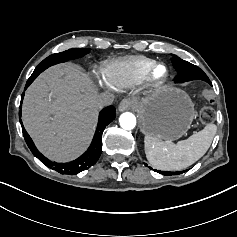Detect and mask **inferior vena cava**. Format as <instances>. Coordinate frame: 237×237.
I'll list each match as a JSON object with an SVG mask.
<instances>
[{"label":"inferior vena cava","mask_w":237,"mask_h":237,"mask_svg":"<svg viewBox=\"0 0 237 237\" xmlns=\"http://www.w3.org/2000/svg\"><path fill=\"white\" fill-rule=\"evenodd\" d=\"M97 104L100 108L109 106L114 101V95L112 93H101L97 96Z\"/></svg>","instance_id":"1"}]
</instances>
